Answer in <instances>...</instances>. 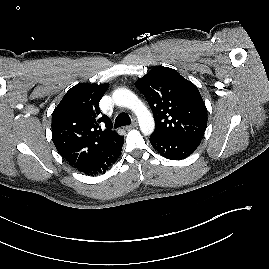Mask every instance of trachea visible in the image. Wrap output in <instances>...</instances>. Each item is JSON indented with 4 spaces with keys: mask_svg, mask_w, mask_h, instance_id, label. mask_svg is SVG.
<instances>
[{
    "mask_svg": "<svg viewBox=\"0 0 269 269\" xmlns=\"http://www.w3.org/2000/svg\"><path fill=\"white\" fill-rule=\"evenodd\" d=\"M130 124H131V118L129 117V115L127 113H120L115 119L114 127L118 128Z\"/></svg>",
    "mask_w": 269,
    "mask_h": 269,
    "instance_id": "obj_1",
    "label": "trachea"
}]
</instances>
